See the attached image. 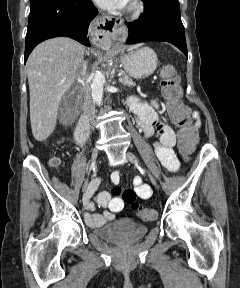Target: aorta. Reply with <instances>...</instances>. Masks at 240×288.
<instances>
[{"mask_svg":"<svg viewBox=\"0 0 240 288\" xmlns=\"http://www.w3.org/2000/svg\"><path fill=\"white\" fill-rule=\"evenodd\" d=\"M105 83V75L97 72L92 81V98L97 105H100L103 97V86Z\"/></svg>","mask_w":240,"mask_h":288,"instance_id":"aorta-1","label":"aorta"}]
</instances>
